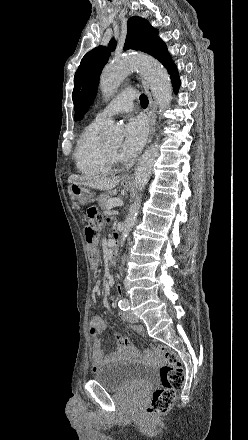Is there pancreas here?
I'll return each instance as SVG.
<instances>
[{"instance_id":"cf45deb5","label":"pancreas","mask_w":248,"mask_h":440,"mask_svg":"<svg viewBox=\"0 0 248 440\" xmlns=\"http://www.w3.org/2000/svg\"><path fill=\"white\" fill-rule=\"evenodd\" d=\"M111 199H113L112 194H110V193L101 194L97 199L100 208L107 209V205L109 203V200H111Z\"/></svg>"}]
</instances>
